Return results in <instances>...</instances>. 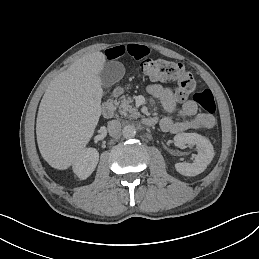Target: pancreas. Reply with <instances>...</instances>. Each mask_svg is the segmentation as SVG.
Masks as SVG:
<instances>
[{"label": "pancreas", "mask_w": 259, "mask_h": 259, "mask_svg": "<svg viewBox=\"0 0 259 259\" xmlns=\"http://www.w3.org/2000/svg\"><path fill=\"white\" fill-rule=\"evenodd\" d=\"M134 98L131 96L125 97L123 96L119 99L118 103H120L119 111L121 114L132 117V118H139L141 117L139 111L136 108L132 107V103Z\"/></svg>", "instance_id": "pancreas-1"}]
</instances>
